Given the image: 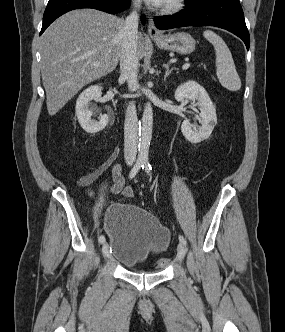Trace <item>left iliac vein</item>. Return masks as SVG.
<instances>
[{
	"label": "left iliac vein",
	"mask_w": 285,
	"mask_h": 332,
	"mask_svg": "<svg viewBox=\"0 0 285 332\" xmlns=\"http://www.w3.org/2000/svg\"><path fill=\"white\" fill-rule=\"evenodd\" d=\"M185 254H186V247L182 243H179L177 246V258L179 260H182L184 259Z\"/></svg>",
	"instance_id": "4c4485c4"
}]
</instances>
